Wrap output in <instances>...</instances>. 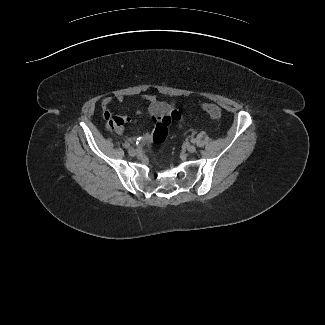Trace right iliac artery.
<instances>
[{
    "instance_id": "right-iliac-artery-1",
    "label": "right iliac artery",
    "mask_w": 325,
    "mask_h": 325,
    "mask_svg": "<svg viewBox=\"0 0 325 325\" xmlns=\"http://www.w3.org/2000/svg\"><path fill=\"white\" fill-rule=\"evenodd\" d=\"M123 146H124L125 148H129V147H130V144L127 143V142H125V143L123 144Z\"/></svg>"
}]
</instances>
